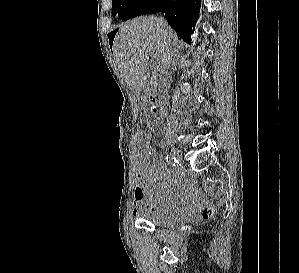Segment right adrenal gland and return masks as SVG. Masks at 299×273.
Here are the masks:
<instances>
[{
  "label": "right adrenal gland",
  "instance_id": "right-adrenal-gland-1",
  "mask_svg": "<svg viewBox=\"0 0 299 273\" xmlns=\"http://www.w3.org/2000/svg\"><path fill=\"white\" fill-rule=\"evenodd\" d=\"M179 56H180V55L177 56V59H176V60H173V62H172V66H174V65L176 64V61L178 60Z\"/></svg>",
  "mask_w": 299,
  "mask_h": 273
}]
</instances>
